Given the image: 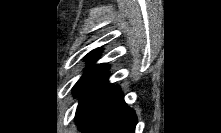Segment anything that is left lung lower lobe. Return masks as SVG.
I'll list each match as a JSON object with an SVG mask.
<instances>
[{"instance_id":"1","label":"left lung lower lobe","mask_w":221,"mask_h":133,"mask_svg":"<svg viewBox=\"0 0 221 133\" xmlns=\"http://www.w3.org/2000/svg\"><path fill=\"white\" fill-rule=\"evenodd\" d=\"M76 122L82 133H135V112L123 100L119 87L107 81V71L79 95Z\"/></svg>"}]
</instances>
